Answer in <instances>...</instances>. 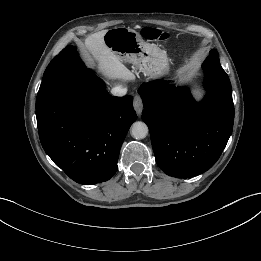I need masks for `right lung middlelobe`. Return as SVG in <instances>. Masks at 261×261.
<instances>
[{
    "instance_id": "dd1d6c3e",
    "label": "right lung middle lobe",
    "mask_w": 261,
    "mask_h": 261,
    "mask_svg": "<svg viewBox=\"0 0 261 261\" xmlns=\"http://www.w3.org/2000/svg\"><path fill=\"white\" fill-rule=\"evenodd\" d=\"M84 68L76 47L67 46L50 62L44 72L36 102L43 99L60 82Z\"/></svg>"
}]
</instances>
